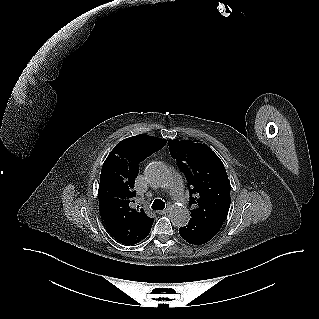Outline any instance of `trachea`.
<instances>
[{
  "label": "trachea",
  "instance_id": "obj_1",
  "mask_svg": "<svg viewBox=\"0 0 319 319\" xmlns=\"http://www.w3.org/2000/svg\"><path fill=\"white\" fill-rule=\"evenodd\" d=\"M165 208V202L160 199H155L152 204L153 210H163Z\"/></svg>",
  "mask_w": 319,
  "mask_h": 319
}]
</instances>
